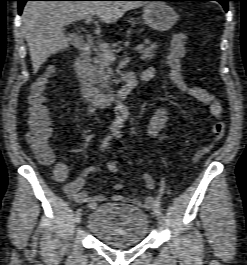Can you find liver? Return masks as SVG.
<instances>
[{
  "label": "liver",
  "mask_w": 247,
  "mask_h": 265,
  "mask_svg": "<svg viewBox=\"0 0 247 265\" xmlns=\"http://www.w3.org/2000/svg\"><path fill=\"white\" fill-rule=\"evenodd\" d=\"M140 1H28L22 13V32L27 40L33 71L46 59L69 46L64 27L97 15L104 23L119 20L125 12L143 6Z\"/></svg>",
  "instance_id": "liver-1"
}]
</instances>
